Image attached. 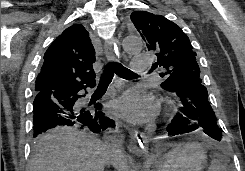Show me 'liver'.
Instances as JSON below:
<instances>
[{
  "label": "liver",
  "mask_w": 245,
  "mask_h": 171,
  "mask_svg": "<svg viewBox=\"0 0 245 171\" xmlns=\"http://www.w3.org/2000/svg\"><path fill=\"white\" fill-rule=\"evenodd\" d=\"M110 164L118 171H129L125 157L115 158L110 145L64 126L41 137L30 160V171H104Z\"/></svg>",
  "instance_id": "1"
}]
</instances>
